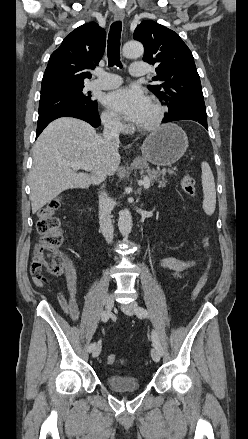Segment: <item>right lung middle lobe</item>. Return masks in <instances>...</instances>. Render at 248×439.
Here are the masks:
<instances>
[{
    "label": "right lung middle lobe",
    "instance_id": "1",
    "mask_svg": "<svg viewBox=\"0 0 248 439\" xmlns=\"http://www.w3.org/2000/svg\"><path fill=\"white\" fill-rule=\"evenodd\" d=\"M84 86L41 95L39 115L61 107L95 108L97 101L83 91Z\"/></svg>",
    "mask_w": 248,
    "mask_h": 439
}]
</instances>
